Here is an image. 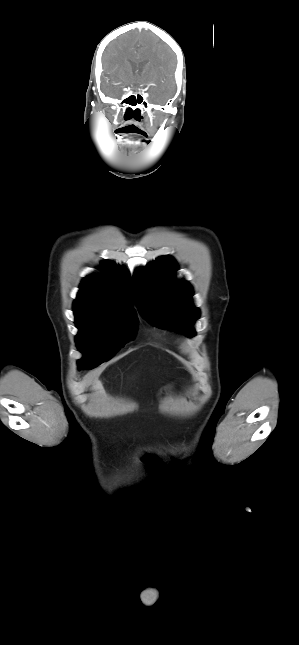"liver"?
I'll list each match as a JSON object with an SVG mask.
<instances>
[{
    "mask_svg": "<svg viewBox=\"0 0 299 645\" xmlns=\"http://www.w3.org/2000/svg\"><path fill=\"white\" fill-rule=\"evenodd\" d=\"M93 387H94V389H95L96 391H98L99 393H103V392H104V390H103V386H102V383H101L99 380H96V381L94 382Z\"/></svg>",
    "mask_w": 299,
    "mask_h": 645,
    "instance_id": "liver-1",
    "label": "liver"
}]
</instances>
